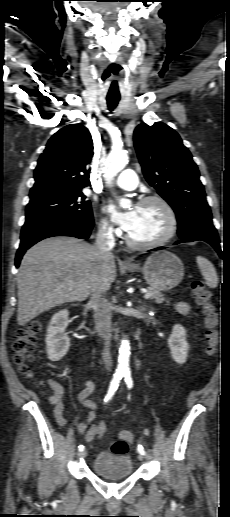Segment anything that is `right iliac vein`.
I'll use <instances>...</instances> for the list:
<instances>
[{
	"mask_svg": "<svg viewBox=\"0 0 230 517\" xmlns=\"http://www.w3.org/2000/svg\"><path fill=\"white\" fill-rule=\"evenodd\" d=\"M79 456H80V457H82V458L86 457V456H87V450H86V449H84L83 451H81V452L79 453Z\"/></svg>",
	"mask_w": 230,
	"mask_h": 517,
	"instance_id": "1",
	"label": "right iliac vein"
}]
</instances>
